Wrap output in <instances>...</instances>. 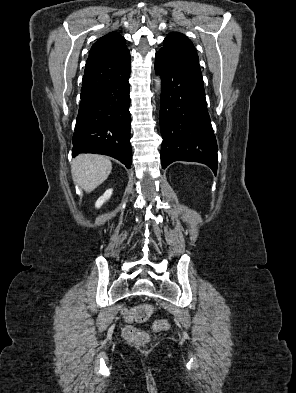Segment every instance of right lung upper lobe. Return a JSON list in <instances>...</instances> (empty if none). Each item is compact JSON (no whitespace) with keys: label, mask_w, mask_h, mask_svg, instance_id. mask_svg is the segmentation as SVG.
I'll use <instances>...</instances> for the list:
<instances>
[{"label":"right lung upper lobe","mask_w":296,"mask_h":393,"mask_svg":"<svg viewBox=\"0 0 296 393\" xmlns=\"http://www.w3.org/2000/svg\"><path fill=\"white\" fill-rule=\"evenodd\" d=\"M124 37L117 32H110L98 39L92 46L89 56L127 51Z\"/></svg>","instance_id":"cb5924a9"}]
</instances>
